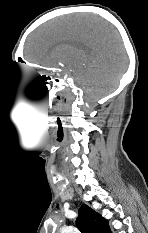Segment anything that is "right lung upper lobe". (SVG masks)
Segmentation results:
<instances>
[{
	"label": "right lung upper lobe",
	"instance_id": "1",
	"mask_svg": "<svg viewBox=\"0 0 148 233\" xmlns=\"http://www.w3.org/2000/svg\"><path fill=\"white\" fill-rule=\"evenodd\" d=\"M76 225L82 233H111L108 221L87 205L79 209Z\"/></svg>",
	"mask_w": 148,
	"mask_h": 233
}]
</instances>
